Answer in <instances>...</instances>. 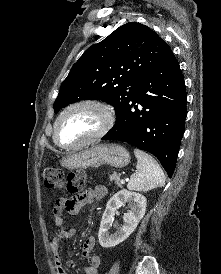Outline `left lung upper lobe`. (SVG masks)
Wrapping results in <instances>:
<instances>
[{
	"label": "left lung upper lobe",
	"instance_id": "1",
	"mask_svg": "<svg viewBox=\"0 0 221 274\" xmlns=\"http://www.w3.org/2000/svg\"><path fill=\"white\" fill-rule=\"evenodd\" d=\"M170 49L153 30L140 23L120 26L89 47L60 86L54 111L78 100H102L117 113L139 88V82Z\"/></svg>",
	"mask_w": 221,
	"mask_h": 274
}]
</instances>
